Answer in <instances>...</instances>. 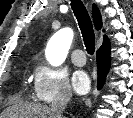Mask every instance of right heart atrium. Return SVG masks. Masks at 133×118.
I'll use <instances>...</instances> for the list:
<instances>
[{
	"label": "right heart atrium",
	"mask_w": 133,
	"mask_h": 118,
	"mask_svg": "<svg viewBox=\"0 0 133 118\" xmlns=\"http://www.w3.org/2000/svg\"><path fill=\"white\" fill-rule=\"evenodd\" d=\"M33 91L35 98L42 103H51L57 99L71 97L67 74L43 62H39L35 68Z\"/></svg>",
	"instance_id": "obj_1"
}]
</instances>
